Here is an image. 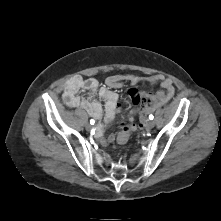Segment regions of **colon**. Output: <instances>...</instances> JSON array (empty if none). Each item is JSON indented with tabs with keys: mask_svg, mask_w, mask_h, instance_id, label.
<instances>
[{
	"mask_svg": "<svg viewBox=\"0 0 221 221\" xmlns=\"http://www.w3.org/2000/svg\"><path fill=\"white\" fill-rule=\"evenodd\" d=\"M144 101L143 104H138L136 106L137 112H143L142 115L145 116L150 111L151 101L148 100ZM144 107L147 109L144 110ZM137 118L136 112H130L129 118L124 119V123L120 124V128L118 133L115 135L116 143L119 145H124L127 141H130L132 139V131H136L138 129L137 121L135 120Z\"/></svg>",
	"mask_w": 221,
	"mask_h": 221,
	"instance_id": "obj_1",
	"label": "colon"
}]
</instances>
